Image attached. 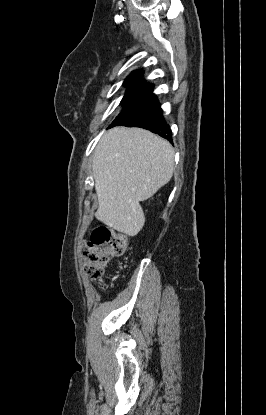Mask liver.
Returning a JSON list of instances; mask_svg holds the SVG:
<instances>
[{
  "label": "liver",
  "instance_id": "6515ba94",
  "mask_svg": "<svg viewBox=\"0 0 266 415\" xmlns=\"http://www.w3.org/2000/svg\"><path fill=\"white\" fill-rule=\"evenodd\" d=\"M173 171L174 150L165 139L140 128L108 130L92 161L96 218L118 232L136 236L145 223L139 202L167 184Z\"/></svg>",
  "mask_w": 266,
  "mask_h": 415
}]
</instances>
